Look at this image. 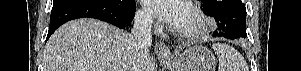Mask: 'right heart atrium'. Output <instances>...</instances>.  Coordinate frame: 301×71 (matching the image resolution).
<instances>
[{"label": "right heart atrium", "mask_w": 301, "mask_h": 71, "mask_svg": "<svg viewBox=\"0 0 301 71\" xmlns=\"http://www.w3.org/2000/svg\"><path fill=\"white\" fill-rule=\"evenodd\" d=\"M139 24L146 29H149L153 26L152 16L145 10H141L137 16Z\"/></svg>", "instance_id": "d8ad5b80"}]
</instances>
